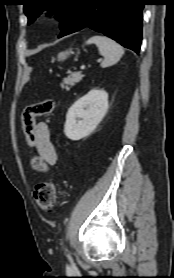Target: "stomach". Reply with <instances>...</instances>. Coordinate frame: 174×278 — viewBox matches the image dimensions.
<instances>
[{
    "label": "stomach",
    "mask_w": 174,
    "mask_h": 278,
    "mask_svg": "<svg viewBox=\"0 0 174 278\" xmlns=\"http://www.w3.org/2000/svg\"><path fill=\"white\" fill-rule=\"evenodd\" d=\"M70 54H73V51L71 49L67 50V51L60 52L57 56V59H58V61H64L65 59H67V57Z\"/></svg>",
    "instance_id": "stomach-1"
}]
</instances>
